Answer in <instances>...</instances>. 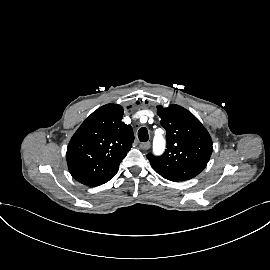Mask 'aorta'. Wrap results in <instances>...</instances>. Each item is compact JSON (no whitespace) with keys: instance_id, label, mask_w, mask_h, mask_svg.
I'll return each mask as SVG.
<instances>
[{"instance_id":"762f6f07","label":"aorta","mask_w":270,"mask_h":270,"mask_svg":"<svg viewBox=\"0 0 270 270\" xmlns=\"http://www.w3.org/2000/svg\"><path fill=\"white\" fill-rule=\"evenodd\" d=\"M165 147V141L162 137H156L154 142V152L156 154L162 153Z\"/></svg>"}]
</instances>
